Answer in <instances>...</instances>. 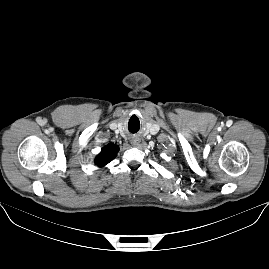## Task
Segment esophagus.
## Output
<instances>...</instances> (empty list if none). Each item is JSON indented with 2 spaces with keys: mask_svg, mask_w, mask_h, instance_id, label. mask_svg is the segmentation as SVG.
<instances>
[{
  "mask_svg": "<svg viewBox=\"0 0 269 269\" xmlns=\"http://www.w3.org/2000/svg\"><path fill=\"white\" fill-rule=\"evenodd\" d=\"M140 139H134L131 141V144L134 146V147H138L139 144H140Z\"/></svg>",
  "mask_w": 269,
  "mask_h": 269,
  "instance_id": "esophagus-1",
  "label": "esophagus"
}]
</instances>
